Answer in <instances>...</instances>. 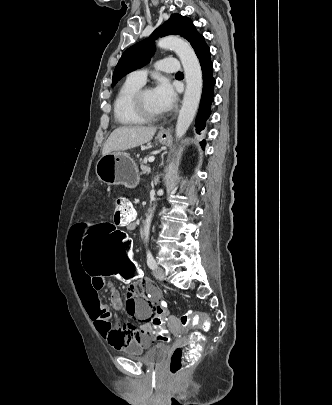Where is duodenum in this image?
<instances>
[{
	"mask_svg": "<svg viewBox=\"0 0 332 405\" xmlns=\"http://www.w3.org/2000/svg\"><path fill=\"white\" fill-rule=\"evenodd\" d=\"M127 226L130 230H135L137 227V219L136 217H132L131 219L128 220Z\"/></svg>",
	"mask_w": 332,
	"mask_h": 405,
	"instance_id": "obj_1",
	"label": "duodenum"
}]
</instances>
